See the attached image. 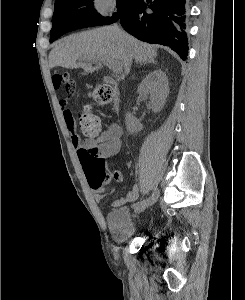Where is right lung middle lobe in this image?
<instances>
[{
  "instance_id": "1",
  "label": "right lung middle lobe",
  "mask_w": 245,
  "mask_h": 300,
  "mask_svg": "<svg viewBox=\"0 0 245 300\" xmlns=\"http://www.w3.org/2000/svg\"><path fill=\"white\" fill-rule=\"evenodd\" d=\"M136 2L137 0H117V12L112 17H103L94 8L93 0H58L54 7L50 42L57 39L55 24L60 19L78 22L83 27L109 25L118 21Z\"/></svg>"
}]
</instances>
